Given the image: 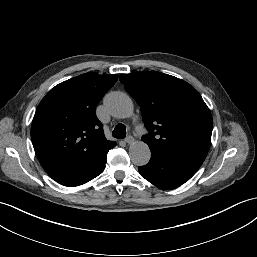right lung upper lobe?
Listing matches in <instances>:
<instances>
[{
  "label": "right lung upper lobe",
  "instance_id": "obj_1",
  "mask_svg": "<svg viewBox=\"0 0 257 257\" xmlns=\"http://www.w3.org/2000/svg\"><path fill=\"white\" fill-rule=\"evenodd\" d=\"M117 79L88 72L58 84L40 102L31 139L41 165L55 181L80 177L116 145L105 138L96 106Z\"/></svg>",
  "mask_w": 257,
  "mask_h": 257
}]
</instances>
